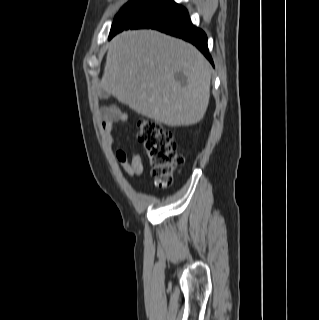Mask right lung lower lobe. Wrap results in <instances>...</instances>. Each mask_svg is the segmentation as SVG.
Segmentation results:
<instances>
[{
    "mask_svg": "<svg viewBox=\"0 0 319 320\" xmlns=\"http://www.w3.org/2000/svg\"><path fill=\"white\" fill-rule=\"evenodd\" d=\"M129 28H154L182 38L194 44L213 64L207 47L206 34L201 29L192 25L187 10L178 4H175L169 9L150 15ZM124 29L128 28L111 30L109 39Z\"/></svg>",
    "mask_w": 319,
    "mask_h": 320,
    "instance_id": "98d812e1",
    "label": "right lung lower lobe"
}]
</instances>
